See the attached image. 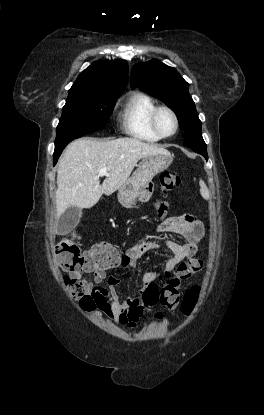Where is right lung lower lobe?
Masks as SVG:
<instances>
[{
  "mask_svg": "<svg viewBox=\"0 0 264 415\" xmlns=\"http://www.w3.org/2000/svg\"><path fill=\"white\" fill-rule=\"evenodd\" d=\"M64 148H65V147H64ZM64 148L56 149V150L54 151V154H53V164H54V165L57 163V160H58L59 156L61 155L62 150H63Z\"/></svg>",
  "mask_w": 264,
  "mask_h": 415,
  "instance_id": "obj_1",
  "label": "right lung lower lobe"
}]
</instances>
